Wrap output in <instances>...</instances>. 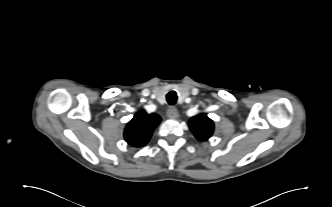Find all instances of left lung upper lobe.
<instances>
[{"instance_id": "1", "label": "left lung upper lobe", "mask_w": 332, "mask_h": 207, "mask_svg": "<svg viewBox=\"0 0 332 207\" xmlns=\"http://www.w3.org/2000/svg\"><path fill=\"white\" fill-rule=\"evenodd\" d=\"M189 127L200 141L208 140L214 131V123L204 114L194 116L189 121Z\"/></svg>"}]
</instances>
